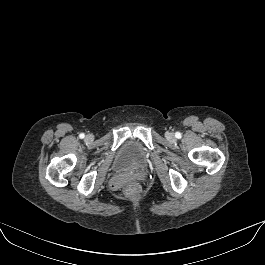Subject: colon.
Instances as JSON below:
<instances>
[{
	"label": "colon",
	"instance_id": "5ec220e1",
	"mask_svg": "<svg viewBox=\"0 0 265 265\" xmlns=\"http://www.w3.org/2000/svg\"><path fill=\"white\" fill-rule=\"evenodd\" d=\"M124 192L128 197H134L138 193V187L134 184L128 185Z\"/></svg>",
	"mask_w": 265,
	"mask_h": 265
}]
</instances>
